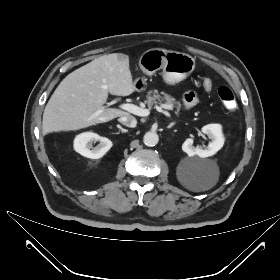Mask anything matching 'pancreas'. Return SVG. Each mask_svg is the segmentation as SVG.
<instances>
[{"instance_id": "pancreas-1", "label": "pancreas", "mask_w": 280, "mask_h": 280, "mask_svg": "<svg viewBox=\"0 0 280 280\" xmlns=\"http://www.w3.org/2000/svg\"><path fill=\"white\" fill-rule=\"evenodd\" d=\"M163 104L166 106V109L173 110L176 108V114L178 115L180 112L181 104L179 101H176L175 98L170 95L162 92H158V90H150L147 94V105L149 108H152L153 105Z\"/></svg>"}]
</instances>
